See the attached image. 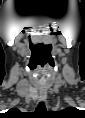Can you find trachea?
<instances>
[{"mask_svg": "<svg viewBox=\"0 0 85 118\" xmlns=\"http://www.w3.org/2000/svg\"><path fill=\"white\" fill-rule=\"evenodd\" d=\"M37 111H46L45 104L41 101L37 106Z\"/></svg>", "mask_w": 85, "mask_h": 118, "instance_id": "1", "label": "trachea"}]
</instances>
